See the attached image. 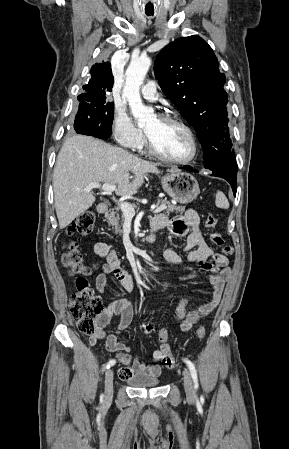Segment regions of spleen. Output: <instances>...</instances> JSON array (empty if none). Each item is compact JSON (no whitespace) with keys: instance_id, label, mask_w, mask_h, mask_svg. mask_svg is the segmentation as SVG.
<instances>
[{"instance_id":"obj_1","label":"spleen","mask_w":289,"mask_h":449,"mask_svg":"<svg viewBox=\"0 0 289 449\" xmlns=\"http://www.w3.org/2000/svg\"><path fill=\"white\" fill-rule=\"evenodd\" d=\"M215 204L218 208L228 209L229 202L223 192L217 191Z\"/></svg>"}]
</instances>
